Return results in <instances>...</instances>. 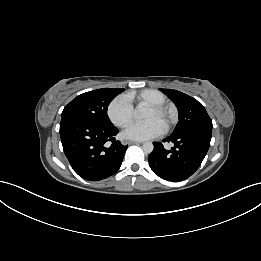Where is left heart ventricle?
<instances>
[{"instance_id": "left-heart-ventricle-1", "label": "left heart ventricle", "mask_w": 261, "mask_h": 261, "mask_svg": "<svg viewBox=\"0 0 261 261\" xmlns=\"http://www.w3.org/2000/svg\"><path fill=\"white\" fill-rule=\"evenodd\" d=\"M145 120H157L159 121L164 127L166 125L167 122V117L165 115L162 114H158L155 111H153L152 109H148L145 116H144Z\"/></svg>"}]
</instances>
